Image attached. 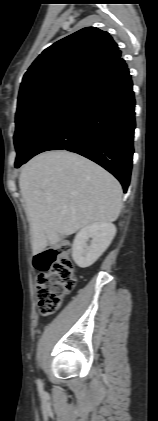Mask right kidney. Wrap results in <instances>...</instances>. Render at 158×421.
<instances>
[{
	"instance_id": "obj_1",
	"label": "right kidney",
	"mask_w": 158,
	"mask_h": 421,
	"mask_svg": "<svg viewBox=\"0 0 158 421\" xmlns=\"http://www.w3.org/2000/svg\"><path fill=\"white\" fill-rule=\"evenodd\" d=\"M115 234L116 227L109 222H97L83 227L73 241L74 262L81 268L91 266L109 247Z\"/></svg>"
}]
</instances>
